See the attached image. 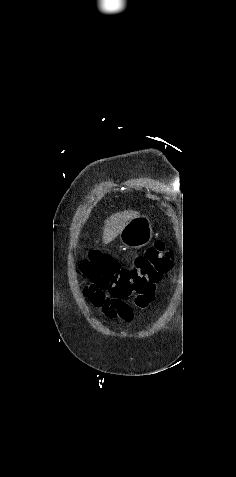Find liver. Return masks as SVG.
Returning a JSON list of instances; mask_svg holds the SVG:
<instances>
[{
	"label": "liver",
	"mask_w": 236,
	"mask_h": 477,
	"mask_svg": "<svg viewBox=\"0 0 236 477\" xmlns=\"http://www.w3.org/2000/svg\"><path fill=\"white\" fill-rule=\"evenodd\" d=\"M139 215L136 211H123L111 215L105 221L103 229V243L107 244L114 240L128 224L129 221Z\"/></svg>",
	"instance_id": "1"
}]
</instances>
